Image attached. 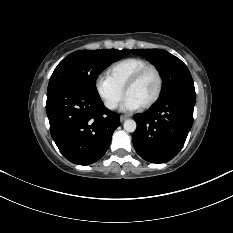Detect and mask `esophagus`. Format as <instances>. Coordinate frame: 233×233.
I'll list each match as a JSON object with an SVG mask.
<instances>
[{
    "instance_id": "1",
    "label": "esophagus",
    "mask_w": 233,
    "mask_h": 233,
    "mask_svg": "<svg viewBox=\"0 0 233 233\" xmlns=\"http://www.w3.org/2000/svg\"><path fill=\"white\" fill-rule=\"evenodd\" d=\"M126 119H127V116H124V115H121V116H120V121H121V122L125 121Z\"/></svg>"
}]
</instances>
